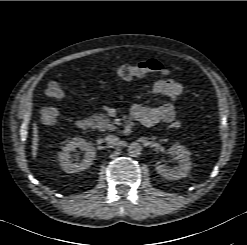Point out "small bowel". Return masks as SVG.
I'll return each instance as SVG.
<instances>
[{
  "label": "small bowel",
  "mask_w": 247,
  "mask_h": 245,
  "mask_svg": "<svg viewBox=\"0 0 247 245\" xmlns=\"http://www.w3.org/2000/svg\"><path fill=\"white\" fill-rule=\"evenodd\" d=\"M152 92L167 97L169 101L159 106L135 105L131 109L132 117L145 126L175 120L177 101L184 94L183 85L172 79H162L153 84Z\"/></svg>",
  "instance_id": "obj_1"
}]
</instances>
